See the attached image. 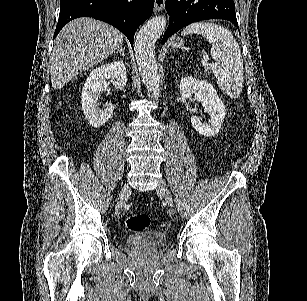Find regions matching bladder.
<instances>
[{"label": "bladder", "instance_id": "bladder-1", "mask_svg": "<svg viewBox=\"0 0 307 301\" xmlns=\"http://www.w3.org/2000/svg\"><path fill=\"white\" fill-rule=\"evenodd\" d=\"M126 242L131 246H145V247H162L167 243L165 233L150 229L144 232H137L134 235L125 238Z\"/></svg>", "mask_w": 307, "mask_h": 301}]
</instances>
